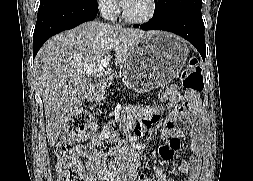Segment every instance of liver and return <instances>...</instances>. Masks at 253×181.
Here are the masks:
<instances>
[{"label": "liver", "mask_w": 253, "mask_h": 181, "mask_svg": "<svg viewBox=\"0 0 253 181\" xmlns=\"http://www.w3.org/2000/svg\"><path fill=\"white\" fill-rule=\"evenodd\" d=\"M153 32L90 21L53 36L42 46L33 72L44 104L49 146L55 145L71 115L93 92L84 66L110 58L111 50L114 64L122 66L129 48Z\"/></svg>", "instance_id": "1"}]
</instances>
